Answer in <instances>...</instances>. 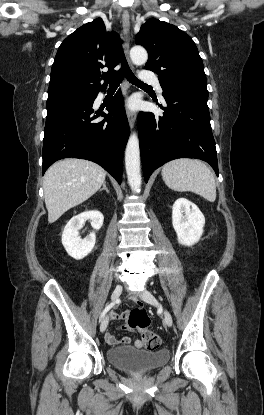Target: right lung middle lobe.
<instances>
[{"instance_id":"right-lung-middle-lobe-1","label":"right lung middle lobe","mask_w":264,"mask_h":415,"mask_svg":"<svg viewBox=\"0 0 264 415\" xmlns=\"http://www.w3.org/2000/svg\"><path fill=\"white\" fill-rule=\"evenodd\" d=\"M89 97L90 96H66V97H62V98L47 100V105L60 103V102H66V101L83 100V99H87Z\"/></svg>"}]
</instances>
